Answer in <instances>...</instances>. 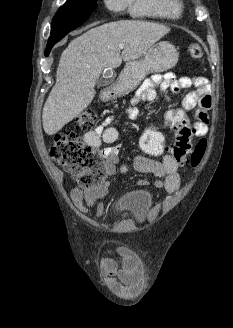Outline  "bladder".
Masks as SVG:
<instances>
[{"label": "bladder", "instance_id": "1", "mask_svg": "<svg viewBox=\"0 0 233 328\" xmlns=\"http://www.w3.org/2000/svg\"><path fill=\"white\" fill-rule=\"evenodd\" d=\"M153 203L152 195L147 191H135L124 196L120 202V210L136 219L144 217Z\"/></svg>", "mask_w": 233, "mask_h": 328}]
</instances>
